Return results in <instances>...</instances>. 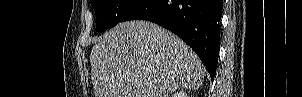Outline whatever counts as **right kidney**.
Instances as JSON below:
<instances>
[{
    "label": "right kidney",
    "instance_id": "obj_1",
    "mask_svg": "<svg viewBox=\"0 0 302 97\" xmlns=\"http://www.w3.org/2000/svg\"><path fill=\"white\" fill-rule=\"evenodd\" d=\"M172 97H187V94L185 92H176L172 95Z\"/></svg>",
    "mask_w": 302,
    "mask_h": 97
}]
</instances>
